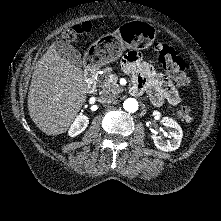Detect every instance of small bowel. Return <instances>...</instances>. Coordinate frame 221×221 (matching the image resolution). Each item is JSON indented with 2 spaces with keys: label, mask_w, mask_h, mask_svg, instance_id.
Instances as JSON below:
<instances>
[{
  "label": "small bowel",
  "mask_w": 221,
  "mask_h": 221,
  "mask_svg": "<svg viewBox=\"0 0 221 221\" xmlns=\"http://www.w3.org/2000/svg\"><path fill=\"white\" fill-rule=\"evenodd\" d=\"M122 65L124 71L133 78L135 93L147 92L156 106L162 105L165 101L172 106L180 103L177 87L184 85L177 84L157 72L138 52L130 51L125 54Z\"/></svg>",
  "instance_id": "obj_1"
}]
</instances>
